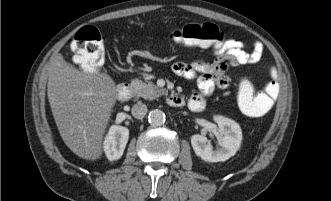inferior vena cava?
Returning <instances> with one entry per match:
<instances>
[{
  "mask_svg": "<svg viewBox=\"0 0 331 201\" xmlns=\"http://www.w3.org/2000/svg\"><path fill=\"white\" fill-rule=\"evenodd\" d=\"M131 112L135 118L142 119L147 113V106L139 101L133 105Z\"/></svg>",
  "mask_w": 331,
  "mask_h": 201,
  "instance_id": "1",
  "label": "inferior vena cava"
}]
</instances>
